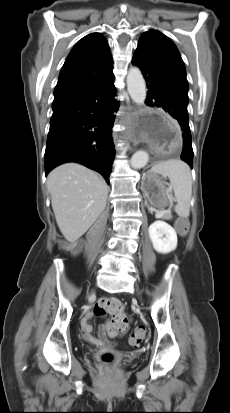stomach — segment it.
<instances>
[{"instance_id":"obj_1","label":"stomach","mask_w":230,"mask_h":413,"mask_svg":"<svg viewBox=\"0 0 230 413\" xmlns=\"http://www.w3.org/2000/svg\"><path fill=\"white\" fill-rule=\"evenodd\" d=\"M141 189L151 206L163 209L170 202V188L158 174L147 172L141 182Z\"/></svg>"}]
</instances>
